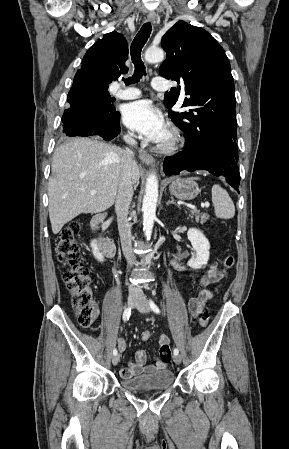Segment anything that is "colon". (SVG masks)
<instances>
[{"mask_svg": "<svg viewBox=\"0 0 289 449\" xmlns=\"http://www.w3.org/2000/svg\"><path fill=\"white\" fill-rule=\"evenodd\" d=\"M80 230L81 223L79 221H73L66 226L60 232L57 240L56 254L66 267L64 279L71 295L78 322L82 327L91 329L96 321L98 310L92 300L89 271L79 260L78 237ZM233 265L234 257L229 254L223 261V268L227 271ZM208 320V311L205 310L199 318V326L205 328L208 325ZM149 338V331L142 333L144 341Z\"/></svg>", "mask_w": 289, "mask_h": 449, "instance_id": "colon-1", "label": "colon"}]
</instances>
